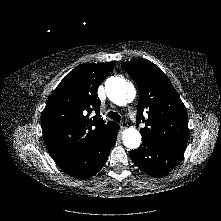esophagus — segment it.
Wrapping results in <instances>:
<instances>
[{
  "label": "esophagus",
  "instance_id": "obj_1",
  "mask_svg": "<svg viewBox=\"0 0 221 221\" xmlns=\"http://www.w3.org/2000/svg\"><path fill=\"white\" fill-rule=\"evenodd\" d=\"M120 126H121L122 129H125V128L128 127V124H127L126 122L122 121V122L120 123Z\"/></svg>",
  "mask_w": 221,
  "mask_h": 221
}]
</instances>
